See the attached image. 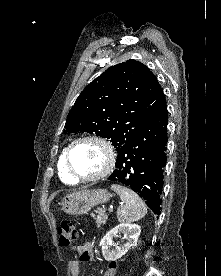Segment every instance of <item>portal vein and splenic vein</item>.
Wrapping results in <instances>:
<instances>
[{
    "label": "portal vein and splenic vein",
    "mask_w": 221,
    "mask_h": 276,
    "mask_svg": "<svg viewBox=\"0 0 221 276\" xmlns=\"http://www.w3.org/2000/svg\"><path fill=\"white\" fill-rule=\"evenodd\" d=\"M108 210H109V212H112V211H113V209H112L111 207H110Z\"/></svg>",
    "instance_id": "portal-vein-and-splenic-vein-1"
}]
</instances>
